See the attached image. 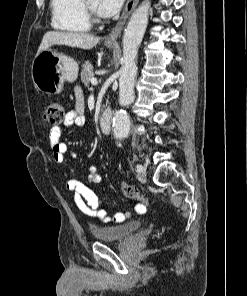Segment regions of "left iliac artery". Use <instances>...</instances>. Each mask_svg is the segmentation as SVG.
<instances>
[{
    "label": "left iliac artery",
    "instance_id": "44dca946",
    "mask_svg": "<svg viewBox=\"0 0 247 296\" xmlns=\"http://www.w3.org/2000/svg\"><path fill=\"white\" fill-rule=\"evenodd\" d=\"M142 170H143L142 165H137V166H136V171H137V172H140V171H142Z\"/></svg>",
    "mask_w": 247,
    "mask_h": 296
}]
</instances>
